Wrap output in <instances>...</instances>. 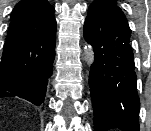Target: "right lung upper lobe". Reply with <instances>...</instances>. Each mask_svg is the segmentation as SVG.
Segmentation results:
<instances>
[{
	"mask_svg": "<svg viewBox=\"0 0 151 131\" xmlns=\"http://www.w3.org/2000/svg\"><path fill=\"white\" fill-rule=\"evenodd\" d=\"M54 7L47 0H21L13 9L0 64V86L34 73L55 47Z\"/></svg>",
	"mask_w": 151,
	"mask_h": 131,
	"instance_id": "obj_1",
	"label": "right lung upper lobe"
}]
</instances>
